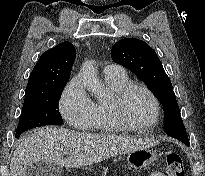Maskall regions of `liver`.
Returning <instances> with one entry per match:
<instances>
[{
	"mask_svg": "<svg viewBox=\"0 0 205 176\" xmlns=\"http://www.w3.org/2000/svg\"><path fill=\"white\" fill-rule=\"evenodd\" d=\"M156 141L105 134L75 132L64 128L44 127L21 138L10 163V176H26L35 162H49L59 167L79 168L119 154L157 144ZM70 156L63 158L62 152Z\"/></svg>",
	"mask_w": 205,
	"mask_h": 176,
	"instance_id": "obj_1",
	"label": "liver"
}]
</instances>
